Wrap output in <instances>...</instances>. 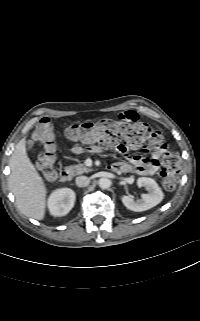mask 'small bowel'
Returning a JSON list of instances; mask_svg holds the SVG:
<instances>
[{"mask_svg":"<svg viewBox=\"0 0 200 321\" xmlns=\"http://www.w3.org/2000/svg\"><path fill=\"white\" fill-rule=\"evenodd\" d=\"M121 116L125 118H135L137 117V114L133 111H127ZM76 152H80V148H76ZM123 153L127 156L129 163H116L110 167L111 170L146 176L154 175L158 171L160 165L164 164V149H155L150 157L140 155L131 156L126 151Z\"/></svg>","mask_w":200,"mask_h":321,"instance_id":"obj_1","label":"small bowel"}]
</instances>
